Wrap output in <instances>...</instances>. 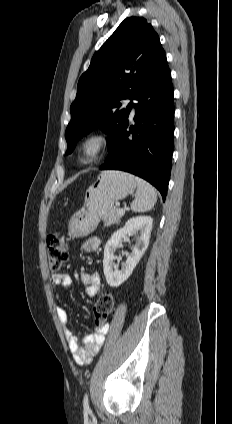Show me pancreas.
<instances>
[{"label":"pancreas","mask_w":232,"mask_h":424,"mask_svg":"<svg viewBox=\"0 0 232 424\" xmlns=\"http://www.w3.org/2000/svg\"><path fill=\"white\" fill-rule=\"evenodd\" d=\"M118 208L113 207L107 211L103 216V223L105 226H110L112 224L118 223L120 221L121 215L118 214Z\"/></svg>","instance_id":"obj_1"}]
</instances>
